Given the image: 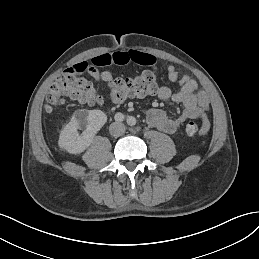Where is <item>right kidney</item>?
Masks as SVG:
<instances>
[{"mask_svg":"<svg viewBox=\"0 0 259 259\" xmlns=\"http://www.w3.org/2000/svg\"><path fill=\"white\" fill-rule=\"evenodd\" d=\"M107 122V115L99 109L76 111L71 121L60 131L57 145L70 155L82 154L95 135ZM86 127L80 136L77 129Z\"/></svg>","mask_w":259,"mask_h":259,"instance_id":"right-kidney-1","label":"right kidney"}]
</instances>
